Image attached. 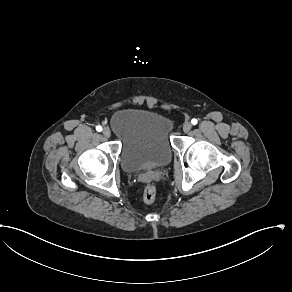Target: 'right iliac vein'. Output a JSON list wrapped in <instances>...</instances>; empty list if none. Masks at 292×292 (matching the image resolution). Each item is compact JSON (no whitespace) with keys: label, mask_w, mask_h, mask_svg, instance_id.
Wrapping results in <instances>:
<instances>
[{"label":"right iliac vein","mask_w":292,"mask_h":292,"mask_svg":"<svg viewBox=\"0 0 292 292\" xmlns=\"http://www.w3.org/2000/svg\"><path fill=\"white\" fill-rule=\"evenodd\" d=\"M102 133H103V135H104L105 137H107V138H109L110 135H111V131H110V129L107 128V127L103 129Z\"/></svg>","instance_id":"right-iliac-vein-1"}]
</instances>
